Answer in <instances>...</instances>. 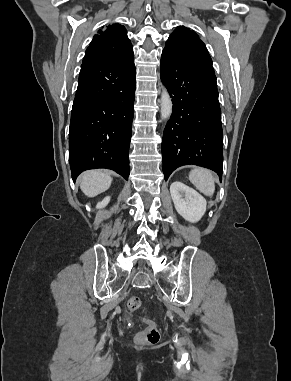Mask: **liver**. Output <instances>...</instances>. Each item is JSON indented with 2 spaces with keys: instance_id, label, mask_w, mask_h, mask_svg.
I'll return each mask as SVG.
<instances>
[{
  "instance_id": "6515ba94",
  "label": "liver",
  "mask_w": 291,
  "mask_h": 381,
  "mask_svg": "<svg viewBox=\"0 0 291 381\" xmlns=\"http://www.w3.org/2000/svg\"><path fill=\"white\" fill-rule=\"evenodd\" d=\"M112 182L110 175L104 171H86L80 176V188L87 197H95L107 189Z\"/></svg>"
}]
</instances>
